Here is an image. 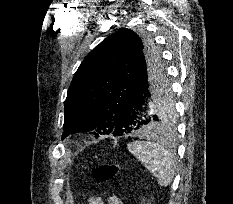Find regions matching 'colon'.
Wrapping results in <instances>:
<instances>
[{"label":"colon","mask_w":233,"mask_h":204,"mask_svg":"<svg viewBox=\"0 0 233 204\" xmlns=\"http://www.w3.org/2000/svg\"><path fill=\"white\" fill-rule=\"evenodd\" d=\"M120 171L119 164L110 163L98 166L94 172V179L99 183L109 182L114 179Z\"/></svg>","instance_id":"1"}]
</instances>
